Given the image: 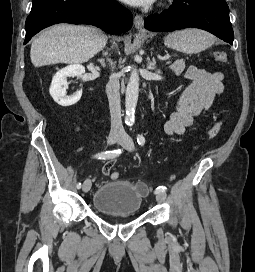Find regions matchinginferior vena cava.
I'll list each match as a JSON object with an SVG mask.
<instances>
[{"label": "inferior vena cava", "instance_id": "obj_1", "mask_svg": "<svg viewBox=\"0 0 255 272\" xmlns=\"http://www.w3.org/2000/svg\"><path fill=\"white\" fill-rule=\"evenodd\" d=\"M120 84L117 77L110 78L106 85V93L109 101L111 115V133L124 134V128L121 120V105H120Z\"/></svg>", "mask_w": 255, "mask_h": 272}]
</instances>
